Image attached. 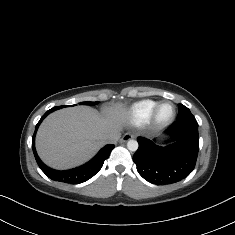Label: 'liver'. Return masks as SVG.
Returning <instances> with one entry per match:
<instances>
[{"label":"liver","mask_w":235,"mask_h":235,"mask_svg":"<svg viewBox=\"0 0 235 235\" xmlns=\"http://www.w3.org/2000/svg\"><path fill=\"white\" fill-rule=\"evenodd\" d=\"M128 116L122 103L103 108L101 113L89 106L55 111L37 131V153L46 165L57 170L79 166L105 145L106 134L122 130Z\"/></svg>","instance_id":"obj_1"}]
</instances>
